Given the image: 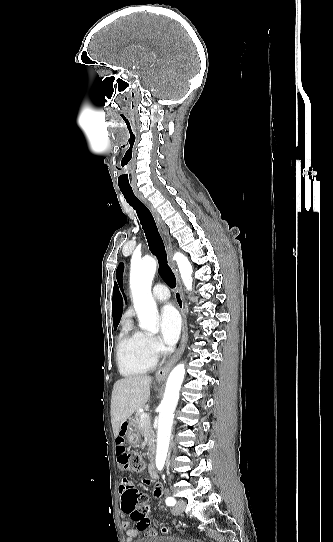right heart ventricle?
Segmentation results:
<instances>
[{"instance_id": "e07e8e85", "label": "right heart ventricle", "mask_w": 333, "mask_h": 542, "mask_svg": "<svg viewBox=\"0 0 333 542\" xmlns=\"http://www.w3.org/2000/svg\"><path fill=\"white\" fill-rule=\"evenodd\" d=\"M147 335L132 328L120 333L117 340V356L122 374H143L155 366L157 357L146 343Z\"/></svg>"}]
</instances>
